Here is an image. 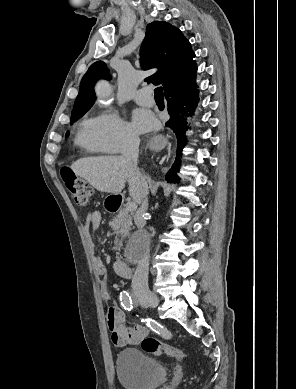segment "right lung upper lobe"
Here are the masks:
<instances>
[{
  "label": "right lung upper lobe",
  "instance_id": "cb5924a9",
  "mask_svg": "<svg viewBox=\"0 0 296 389\" xmlns=\"http://www.w3.org/2000/svg\"><path fill=\"white\" fill-rule=\"evenodd\" d=\"M194 57L191 44L179 29L163 21H154L147 25L142 43L141 65L143 69L159 70L145 81L161 83L164 90L176 82L195 83ZM108 73L109 70L101 61L89 67L82 78L72 112L93 105L94 84L100 78L109 79Z\"/></svg>",
  "mask_w": 296,
  "mask_h": 389
}]
</instances>
